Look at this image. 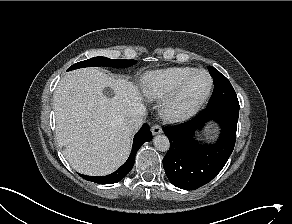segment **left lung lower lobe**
<instances>
[{
  "label": "left lung lower lobe",
  "mask_w": 292,
  "mask_h": 224,
  "mask_svg": "<svg viewBox=\"0 0 292 224\" xmlns=\"http://www.w3.org/2000/svg\"><path fill=\"white\" fill-rule=\"evenodd\" d=\"M238 116L239 102L235 97L207 106L185 123L163 128L170 141L163 167L174 186L194 190L221 171L235 145ZM209 120L219 124L220 137L214 144H201L193 134Z\"/></svg>",
  "instance_id": "obj_1"
}]
</instances>
